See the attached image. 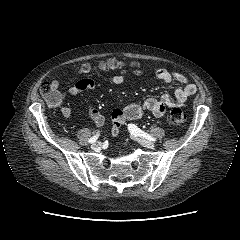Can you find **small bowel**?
<instances>
[{"label": "small bowel", "instance_id": "small-bowel-1", "mask_svg": "<svg viewBox=\"0 0 240 240\" xmlns=\"http://www.w3.org/2000/svg\"><path fill=\"white\" fill-rule=\"evenodd\" d=\"M155 76L164 83L171 84L177 82L179 86L175 88L173 94L165 93L160 97L148 98L142 103H132L123 108L114 109L112 112L113 125L111 129L113 136L118 135L120 128L126 121L139 119L146 111L151 112L156 117H161L165 114L167 108L183 107L188 98L196 92V86L178 72L161 68L156 70ZM124 81L125 78L122 75H114L109 78V83L112 85H121ZM50 83L59 97L60 104L69 96H75L84 91L94 90L96 87L94 81L87 78L79 80L72 87L63 92L58 91L60 83L59 78ZM61 113L63 117L69 118L72 115V110L68 105H63L61 107ZM86 113L97 127L104 126L105 117L96 107L89 104L86 108Z\"/></svg>", "mask_w": 240, "mask_h": 240}]
</instances>
